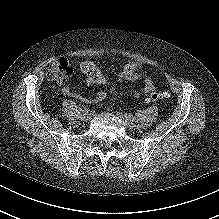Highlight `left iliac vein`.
<instances>
[{"label":"left iliac vein","mask_w":219,"mask_h":219,"mask_svg":"<svg viewBox=\"0 0 219 219\" xmlns=\"http://www.w3.org/2000/svg\"><path fill=\"white\" fill-rule=\"evenodd\" d=\"M119 117L126 123L127 127L129 129H134L135 128V123L133 122V120L128 119L125 115L123 114H119Z\"/></svg>","instance_id":"obj_1"}]
</instances>
